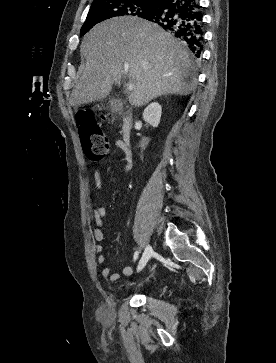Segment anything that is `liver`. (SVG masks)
<instances>
[{
	"label": "liver",
	"mask_w": 276,
	"mask_h": 363,
	"mask_svg": "<svg viewBox=\"0 0 276 363\" xmlns=\"http://www.w3.org/2000/svg\"><path fill=\"white\" fill-rule=\"evenodd\" d=\"M86 64L70 105L106 98L113 83L128 78L135 88L129 103L143 106L165 94L188 95L196 87L193 58L184 44L156 24L138 17H116L93 27L80 48Z\"/></svg>",
	"instance_id": "6515ba94"
}]
</instances>
